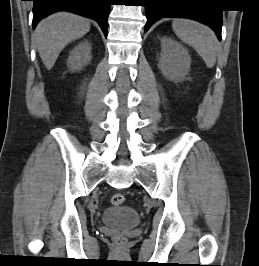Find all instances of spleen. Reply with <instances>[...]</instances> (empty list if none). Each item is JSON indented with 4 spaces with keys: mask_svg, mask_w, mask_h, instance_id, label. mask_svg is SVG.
Here are the masks:
<instances>
[{
    "mask_svg": "<svg viewBox=\"0 0 259 266\" xmlns=\"http://www.w3.org/2000/svg\"><path fill=\"white\" fill-rule=\"evenodd\" d=\"M172 28L180 40L197 51L208 68L215 65L217 39L209 27L189 19H175Z\"/></svg>",
    "mask_w": 259,
    "mask_h": 266,
    "instance_id": "obj_1",
    "label": "spleen"
}]
</instances>
